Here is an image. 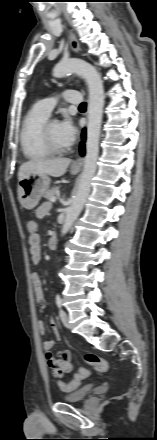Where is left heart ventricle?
<instances>
[{
  "instance_id": "b2bd125f",
  "label": "left heart ventricle",
  "mask_w": 157,
  "mask_h": 440,
  "mask_svg": "<svg viewBox=\"0 0 157 440\" xmlns=\"http://www.w3.org/2000/svg\"><path fill=\"white\" fill-rule=\"evenodd\" d=\"M49 132L55 144L61 147L68 146L60 134L59 123L53 121L49 126Z\"/></svg>"
}]
</instances>
